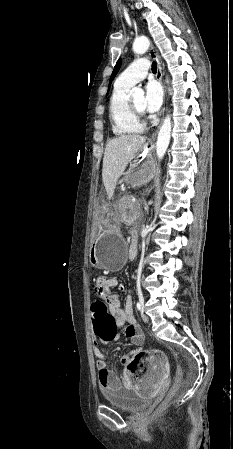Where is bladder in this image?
<instances>
[{
  "mask_svg": "<svg viewBox=\"0 0 233 449\" xmlns=\"http://www.w3.org/2000/svg\"><path fill=\"white\" fill-rule=\"evenodd\" d=\"M105 400L112 406L124 411H137L149 407L151 399H142L136 395L135 390L116 387L103 389Z\"/></svg>",
  "mask_w": 233,
  "mask_h": 449,
  "instance_id": "31cf9c89",
  "label": "bladder"
}]
</instances>
